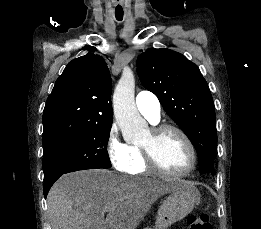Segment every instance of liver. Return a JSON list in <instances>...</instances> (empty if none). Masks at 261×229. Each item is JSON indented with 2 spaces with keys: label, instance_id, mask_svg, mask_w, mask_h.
<instances>
[{
  "label": "liver",
  "instance_id": "liver-1",
  "mask_svg": "<svg viewBox=\"0 0 261 229\" xmlns=\"http://www.w3.org/2000/svg\"><path fill=\"white\" fill-rule=\"evenodd\" d=\"M170 181L119 177L106 169L63 175L47 197L51 229H136ZM104 213H108L104 219Z\"/></svg>",
  "mask_w": 261,
  "mask_h": 229
}]
</instances>
